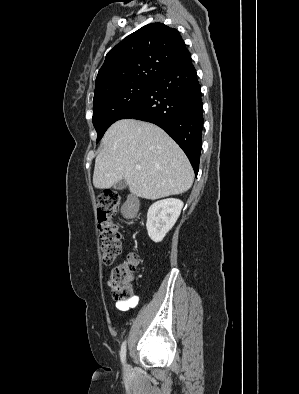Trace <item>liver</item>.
I'll return each instance as SVG.
<instances>
[{"instance_id": "obj_1", "label": "liver", "mask_w": 299, "mask_h": 394, "mask_svg": "<svg viewBox=\"0 0 299 394\" xmlns=\"http://www.w3.org/2000/svg\"><path fill=\"white\" fill-rule=\"evenodd\" d=\"M102 144L95 159V188H110L124 178L132 194L155 200L184 193L192 186L194 172L187 156L156 125L121 119L106 131Z\"/></svg>"}]
</instances>
